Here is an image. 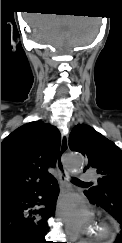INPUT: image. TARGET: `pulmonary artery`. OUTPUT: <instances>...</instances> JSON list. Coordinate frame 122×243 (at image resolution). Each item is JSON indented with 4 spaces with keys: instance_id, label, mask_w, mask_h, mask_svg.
Returning <instances> with one entry per match:
<instances>
[{
    "instance_id": "e3ab8cb5",
    "label": "pulmonary artery",
    "mask_w": 122,
    "mask_h": 243,
    "mask_svg": "<svg viewBox=\"0 0 122 243\" xmlns=\"http://www.w3.org/2000/svg\"><path fill=\"white\" fill-rule=\"evenodd\" d=\"M81 179L83 181H93L96 179L95 175L91 172H84V173H81Z\"/></svg>"
}]
</instances>
